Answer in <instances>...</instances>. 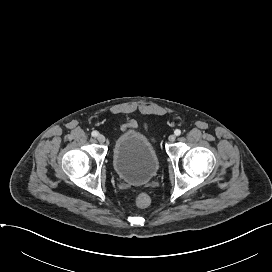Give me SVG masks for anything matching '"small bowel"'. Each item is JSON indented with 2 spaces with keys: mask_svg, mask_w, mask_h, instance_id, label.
I'll return each mask as SVG.
<instances>
[{
  "mask_svg": "<svg viewBox=\"0 0 272 272\" xmlns=\"http://www.w3.org/2000/svg\"><path fill=\"white\" fill-rule=\"evenodd\" d=\"M138 127V123L135 121V120H130L128 122H126L122 129L123 130H126V129H134V128H137Z\"/></svg>",
  "mask_w": 272,
  "mask_h": 272,
  "instance_id": "c3829d8e",
  "label": "small bowel"
}]
</instances>
